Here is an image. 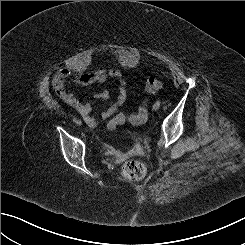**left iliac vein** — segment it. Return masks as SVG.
<instances>
[{"mask_svg":"<svg viewBox=\"0 0 245 245\" xmlns=\"http://www.w3.org/2000/svg\"><path fill=\"white\" fill-rule=\"evenodd\" d=\"M160 108V105H158L157 103H155L154 105H153V109L154 110H158Z\"/></svg>","mask_w":245,"mask_h":245,"instance_id":"4c4485c4","label":"left iliac vein"}]
</instances>
